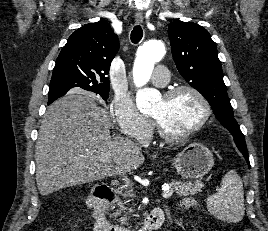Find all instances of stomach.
<instances>
[{"mask_svg":"<svg viewBox=\"0 0 268 231\" xmlns=\"http://www.w3.org/2000/svg\"><path fill=\"white\" fill-rule=\"evenodd\" d=\"M214 165L212 152L199 143L186 146L175 158L172 166L177 173L186 179H200Z\"/></svg>","mask_w":268,"mask_h":231,"instance_id":"stomach-1","label":"stomach"}]
</instances>
